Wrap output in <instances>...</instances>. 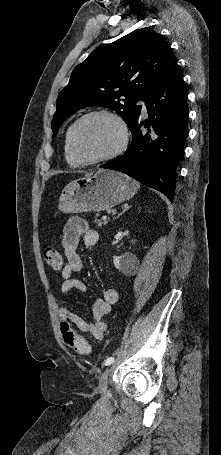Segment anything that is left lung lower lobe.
<instances>
[{
    "label": "left lung lower lobe",
    "instance_id": "0a47b994",
    "mask_svg": "<svg viewBox=\"0 0 221 455\" xmlns=\"http://www.w3.org/2000/svg\"><path fill=\"white\" fill-rule=\"evenodd\" d=\"M145 105L148 120L143 123L138 115L130 128V147L100 167L123 172L172 200L189 116L187 90L177 63L147 95Z\"/></svg>",
    "mask_w": 221,
    "mask_h": 455
}]
</instances>
